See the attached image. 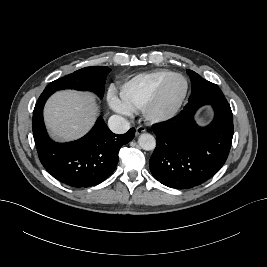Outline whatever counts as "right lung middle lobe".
I'll return each mask as SVG.
<instances>
[{"instance_id": "right-lung-middle-lobe-1", "label": "right lung middle lobe", "mask_w": 267, "mask_h": 267, "mask_svg": "<svg viewBox=\"0 0 267 267\" xmlns=\"http://www.w3.org/2000/svg\"><path fill=\"white\" fill-rule=\"evenodd\" d=\"M110 71L111 69L106 66L86 67L49 83L44 92H55L62 89L88 90L102 97L106 76Z\"/></svg>"}]
</instances>
